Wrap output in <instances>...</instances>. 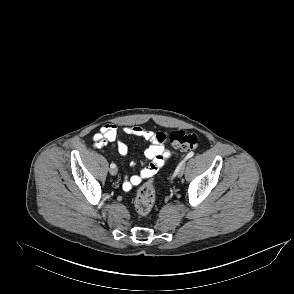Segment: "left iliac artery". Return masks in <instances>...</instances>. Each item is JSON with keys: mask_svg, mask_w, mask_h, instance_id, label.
I'll use <instances>...</instances> for the list:
<instances>
[{"mask_svg": "<svg viewBox=\"0 0 294 294\" xmlns=\"http://www.w3.org/2000/svg\"><path fill=\"white\" fill-rule=\"evenodd\" d=\"M194 152H189L186 157L179 163L178 167L176 168V171L174 173L173 176H176L177 172L179 171L180 167L185 164L186 160H188L189 158L193 157Z\"/></svg>", "mask_w": 294, "mask_h": 294, "instance_id": "1", "label": "left iliac artery"}]
</instances>
